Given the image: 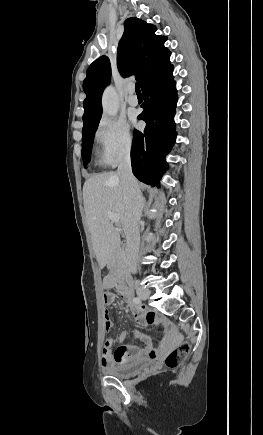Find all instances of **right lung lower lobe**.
<instances>
[{
	"label": "right lung lower lobe",
	"instance_id": "1",
	"mask_svg": "<svg viewBox=\"0 0 263 435\" xmlns=\"http://www.w3.org/2000/svg\"><path fill=\"white\" fill-rule=\"evenodd\" d=\"M172 72L170 65L142 89L144 110L138 119L144 120L146 127L134 132L131 162L133 174L150 185H159L167 169L165 157L176 138L173 117L178 98Z\"/></svg>",
	"mask_w": 263,
	"mask_h": 435
}]
</instances>
